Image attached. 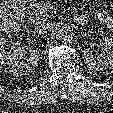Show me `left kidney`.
Wrapping results in <instances>:
<instances>
[{
	"label": "left kidney",
	"instance_id": "left-kidney-1",
	"mask_svg": "<svg viewBox=\"0 0 113 113\" xmlns=\"http://www.w3.org/2000/svg\"><path fill=\"white\" fill-rule=\"evenodd\" d=\"M103 60H96L90 48H85L83 57L90 69L96 71L113 69V39L104 37L102 40Z\"/></svg>",
	"mask_w": 113,
	"mask_h": 113
}]
</instances>
